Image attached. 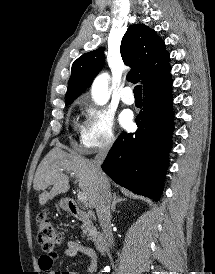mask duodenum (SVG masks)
<instances>
[{
  "label": "duodenum",
  "mask_w": 215,
  "mask_h": 274,
  "mask_svg": "<svg viewBox=\"0 0 215 274\" xmlns=\"http://www.w3.org/2000/svg\"><path fill=\"white\" fill-rule=\"evenodd\" d=\"M67 207L69 212L78 220L81 221H89L91 219V215L84 212L82 209L79 208V206L71 199L67 201ZM94 245L96 250L104 254L107 251L108 244L105 236L98 232L94 236Z\"/></svg>",
  "instance_id": "obj_1"
}]
</instances>
